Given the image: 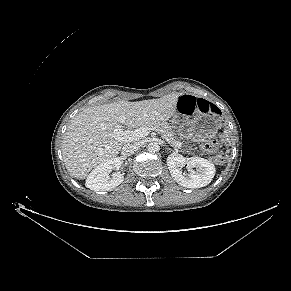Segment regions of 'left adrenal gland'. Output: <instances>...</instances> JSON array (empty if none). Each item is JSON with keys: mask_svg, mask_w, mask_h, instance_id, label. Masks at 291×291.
<instances>
[{"mask_svg": "<svg viewBox=\"0 0 291 291\" xmlns=\"http://www.w3.org/2000/svg\"><path fill=\"white\" fill-rule=\"evenodd\" d=\"M168 150H170V151H173L171 148H167Z\"/></svg>", "mask_w": 291, "mask_h": 291, "instance_id": "1", "label": "left adrenal gland"}]
</instances>
